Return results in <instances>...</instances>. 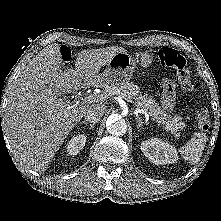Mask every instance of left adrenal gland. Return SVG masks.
Listing matches in <instances>:
<instances>
[{
    "label": "left adrenal gland",
    "instance_id": "a2214340",
    "mask_svg": "<svg viewBox=\"0 0 221 221\" xmlns=\"http://www.w3.org/2000/svg\"><path fill=\"white\" fill-rule=\"evenodd\" d=\"M136 122H137V129L141 128L143 126V124L145 123L141 118H136Z\"/></svg>",
    "mask_w": 221,
    "mask_h": 221
}]
</instances>
